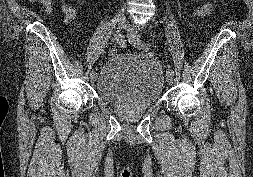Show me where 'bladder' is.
Here are the masks:
<instances>
[{
    "label": "bladder",
    "mask_w": 253,
    "mask_h": 177,
    "mask_svg": "<svg viewBox=\"0 0 253 177\" xmlns=\"http://www.w3.org/2000/svg\"><path fill=\"white\" fill-rule=\"evenodd\" d=\"M163 89V71L157 59L130 53L111 57L95 81L97 96L111 104L133 100L149 107L162 98Z\"/></svg>",
    "instance_id": "obj_1"
}]
</instances>
